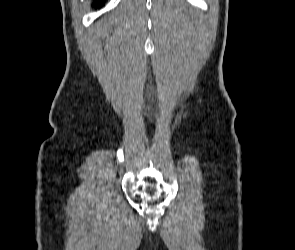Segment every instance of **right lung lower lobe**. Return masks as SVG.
Here are the masks:
<instances>
[{
    "instance_id": "obj_1",
    "label": "right lung lower lobe",
    "mask_w": 295,
    "mask_h": 250,
    "mask_svg": "<svg viewBox=\"0 0 295 250\" xmlns=\"http://www.w3.org/2000/svg\"><path fill=\"white\" fill-rule=\"evenodd\" d=\"M104 0H95L97 6H101Z\"/></svg>"
}]
</instances>
